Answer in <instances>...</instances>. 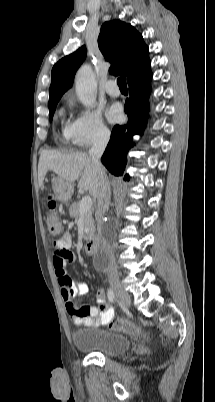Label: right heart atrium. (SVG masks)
I'll return each mask as SVG.
<instances>
[{
  "instance_id": "d8ad5b80",
  "label": "right heart atrium",
  "mask_w": 215,
  "mask_h": 402,
  "mask_svg": "<svg viewBox=\"0 0 215 402\" xmlns=\"http://www.w3.org/2000/svg\"><path fill=\"white\" fill-rule=\"evenodd\" d=\"M68 130L72 143L81 148L103 143L110 134L101 113L93 109H83L69 124Z\"/></svg>"
}]
</instances>
